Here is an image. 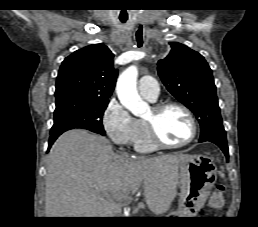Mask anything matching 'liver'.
Here are the masks:
<instances>
[{"label": "liver", "mask_w": 258, "mask_h": 227, "mask_svg": "<svg viewBox=\"0 0 258 227\" xmlns=\"http://www.w3.org/2000/svg\"><path fill=\"white\" fill-rule=\"evenodd\" d=\"M188 157L119 155L106 138L69 130L47 156L45 215L113 217L121 212L120 201L142 184L148 208L155 215L164 214L177 194L179 163Z\"/></svg>", "instance_id": "6515ba94"}]
</instances>
